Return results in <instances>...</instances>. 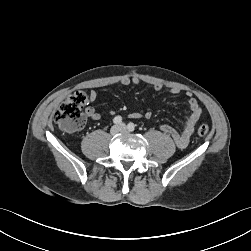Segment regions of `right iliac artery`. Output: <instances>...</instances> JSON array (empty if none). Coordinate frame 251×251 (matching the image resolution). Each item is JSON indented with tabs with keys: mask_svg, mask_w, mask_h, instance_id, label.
<instances>
[{
	"mask_svg": "<svg viewBox=\"0 0 251 251\" xmlns=\"http://www.w3.org/2000/svg\"><path fill=\"white\" fill-rule=\"evenodd\" d=\"M113 122H114L115 124H120V123L122 122L121 116H116V117H114Z\"/></svg>",
	"mask_w": 251,
	"mask_h": 251,
	"instance_id": "1",
	"label": "right iliac artery"
}]
</instances>
